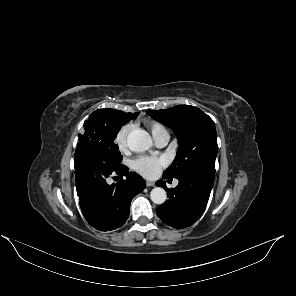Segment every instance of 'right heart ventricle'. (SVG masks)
<instances>
[{"label": "right heart ventricle", "mask_w": 296, "mask_h": 296, "mask_svg": "<svg viewBox=\"0 0 296 296\" xmlns=\"http://www.w3.org/2000/svg\"><path fill=\"white\" fill-rule=\"evenodd\" d=\"M145 125L151 132L154 140L159 136H161L162 134L168 133L166 127L158 121L148 120V121H145Z\"/></svg>", "instance_id": "e07e8e85"}]
</instances>
